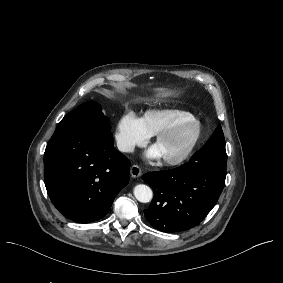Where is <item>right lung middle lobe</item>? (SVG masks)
Wrapping results in <instances>:
<instances>
[{"instance_id":"dd1d6c3e","label":"right lung middle lobe","mask_w":283,"mask_h":283,"mask_svg":"<svg viewBox=\"0 0 283 283\" xmlns=\"http://www.w3.org/2000/svg\"><path fill=\"white\" fill-rule=\"evenodd\" d=\"M59 129H77L96 132L101 135L111 133L109 118L104 116L96 102H86L69 112L57 125Z\"/></svg>"}]
</instances>
